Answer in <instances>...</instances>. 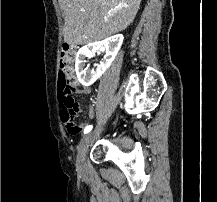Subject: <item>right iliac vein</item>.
Masks as SVG:
<instances>
[{
	"instance_id": "63e3f726",
	"label": "right iliac vein",
	"mask_w": 217,
	"mask_h": 202,
	"mask_svg": "<svg viewBox=\"0 0 217 202\" xmlns=\"http://www.w3.org/2000/svg\"><path fill=\"white\" fill-rule=\"evenodd\" d=\"M92 137V133L85 135L78 145L77 165L79 169L85 166V156Z\"/></svg>"
}]
</instances>
